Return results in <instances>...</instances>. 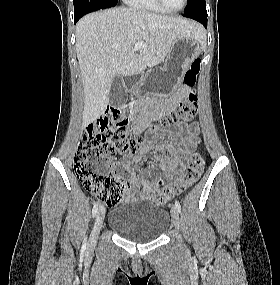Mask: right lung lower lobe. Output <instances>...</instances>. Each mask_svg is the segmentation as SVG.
I'll use <instances>...</instances> for the list:
<instances>
[{
	"mask_svg": "<svg viewBox=\"0 0 280 285\" xmlns=\"http://www.w3.org/2000/svg\"><path fill=\"white\" fill-rule=\"evenodd\" d=\"M83 15H85V13L76 14V15L74 16V23H76Z\"/></svg>",
	"mask_w": 280,
	"mask_h": 285,
	"instance_id": "right-lung-lower-lobe-1",
	"label": "right lung lower lobe"
}]
</instances>
